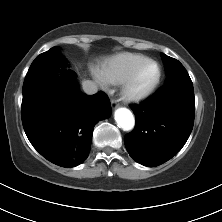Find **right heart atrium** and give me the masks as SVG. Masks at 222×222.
Masks as SVG:
<instances>
[{
	"instance_id": "obj_1",
	"label": "right heart atrium",
	"mask_w": 222,
	"mask_h": 222,
	"mask_svg": "<svg viewBox=\"0 0 222 222\" xmlns=\"http://www.w3.org/2000/svg\"><path fill=\"white\" fill-rule=\"evenodd\" d=\"M96 78L100 81V84H101L103 87H105V84H106V83L99 78V75H98V74H96Z\"/></svg>"
}]
</instances>
